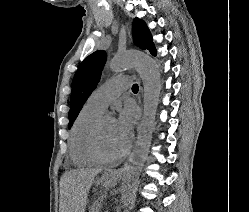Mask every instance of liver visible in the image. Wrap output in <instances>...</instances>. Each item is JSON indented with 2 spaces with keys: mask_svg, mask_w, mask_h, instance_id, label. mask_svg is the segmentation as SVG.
Returning a JSON list of instances; mask_svg holds the SVG:
<instances>
[{
  "mask_svg": "<svg viewBox=\"0 0 249 212\" xmlns=\"http://www.w3.org/2000/svg\"><path fill=\"white\" fill-rule=\"evenodd\" d=\"M102 170L103 168H99V170H71L65 174L68 194L67 212H85L89 190L94 184L96 176ZM121 176V170H107L97 180V184L104 186V188H115Z\"/></svg>",
  "mask_w": 249,
  "mask_h": 212,
  "instance_id": "1",
  "label": "liver"
}]
</instances>
